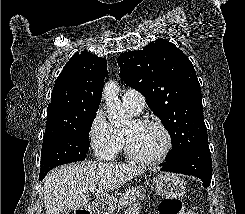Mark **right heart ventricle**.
Wrapping results in <instances>:
<instances>
[{
    "label": "right heart ventricle",
    "instance_id": "1",
    "mask_svg": "<svg viewBox=\"0 0 245 214\" xmlns=\"http://www.w3.org/2000/svg\"><path fill=\"white\" fill-rule=\"evenodd\" d=\"M127 110L130 112V113H132V114H136L134 111H132L131 109H128L127 108ZM119 133V132H118ZM119 135H120V137H121V140H122V143H121V148L123 147V136H122V134L121 133H119ZM120 148V149H121Z\"/></svg>",
    "mask_w": 245,
    "mask_h": 214
}]
</instances>
